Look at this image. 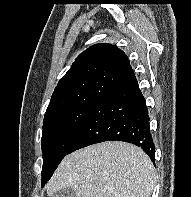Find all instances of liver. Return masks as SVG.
I'll list each match as a JSON object with an SVG mask.
<instances>
[{"label":"liver","mask_w":191,"mask_h":197,"mask_svg":"<svg viewBox=\"0 0 191 197\" xmlns=\"http://www.w3.org/2000/svg\"><path fill=\"white\" fill-rule=\"evenodd\" d=\"M156 172L133 144L103 142L67 155L46 184L49 197L71 188L76 197H151Z\"/></svg>","instance_id":"1"}]
</instances>
